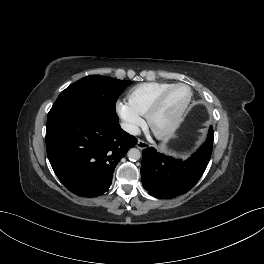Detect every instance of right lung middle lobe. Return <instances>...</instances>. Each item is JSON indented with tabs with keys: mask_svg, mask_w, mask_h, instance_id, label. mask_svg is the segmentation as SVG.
<instances>
[{
	"mask_svg": "<svg viewBox=\"0 0 264 264\" xmlns=\"http://www.w3.org/2000/svg\"><path fill=\"white\" fill-rule=\"evenodd\" d=\"M129 80L91 75L71 84L60 93L48 113L47 127L68 113L81 107H98L115 111V104Z\"/></svg>",
	"mask_w": 264,
	"mask_h": 264,
	"instance_id": "dd1d6c3e",
	"label": "right lung middle lobe"
}]
</instances>
